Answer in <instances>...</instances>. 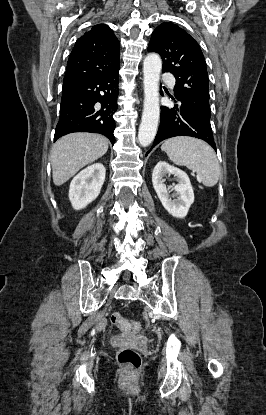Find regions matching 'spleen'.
I'll use <instances>...</instances> for the list:
<instances>
[{
  "label": "spleen",
  "mask_w": 266,
  "mask_h": 415,
  "mask_svg": "<svg viewBox=\"0 0 266 415\" xmlns=\"http://www.w3.org/2000/svg\"><path fill=\"white\" fill-rule=\"evenodd\" d=\"M161 150L178 166H186L196 172L198 182L206 187L217 184L220 165L214 150L204 141L193 137H174L166 140Z\"/></svg>",
  "instance_id": "spleen-1"
}]
</instances>
